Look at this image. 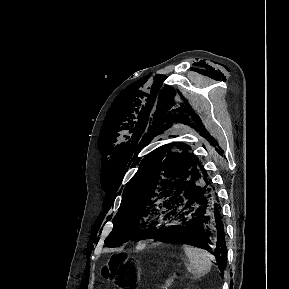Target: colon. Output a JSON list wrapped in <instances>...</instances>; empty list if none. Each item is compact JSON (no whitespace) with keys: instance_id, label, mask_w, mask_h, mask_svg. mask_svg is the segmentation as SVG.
Instances as JSON below:
<instances>
[{"instance_id":"obj_1","label":"colon","mask_w":289,"mask_h":289,"mask_svg":"<svg viewBox=\"0 0 289 289\" xmlns=\"http://www.w3.org/2000/svg\"><path fill=\"white\" fill-rule=\"evenodd\" d=\"M138 270L124 259H115L101 270V276L119 289H136Z\"/></svg>"}]
</instances>
